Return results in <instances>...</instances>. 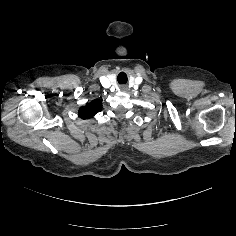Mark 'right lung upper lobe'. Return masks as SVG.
<instances>
[{"label":"right lung upper lobe","mask_w":236,"mask_h":236,"mask_svg":"<svg viewBox=\"0 0 236 236\" xmlns=\"http://www.w3.org/2000/svg\"><path fill=\"white\" fill-rule=\"evenodd\" d=\"M101 109H102L101 101L95 99L92 102L88 103L86 106L80 108L79 116L82 119H89L92 118L98 112H100Z\"/></svg>","instance_id":"obj_1"}]
</instances>
